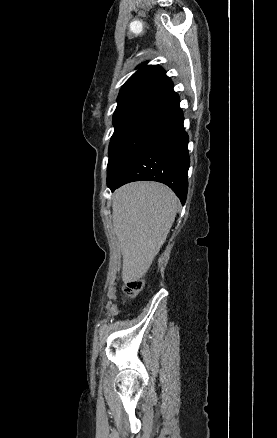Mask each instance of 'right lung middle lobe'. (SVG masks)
I'll use <instances>...</instances> for the list:
<instances>
[{
	"mask_svg": "<svg viewBox=\"0 0 277 438\" xmlns=\"http://www.w3.org/2000/svg\"><path fill=\"white\" fill-rule=\"evenodd\" d=\"M168 111L137 116L114 117V133L109 145L107 183L119 179L157 130Z\"/></svg>",
	"mask_w": 277,
	"mask_h": 438,
	"instance_id": "dd1d6c3e",
	"label": "right lung middle lobe"
}]
</instances>
